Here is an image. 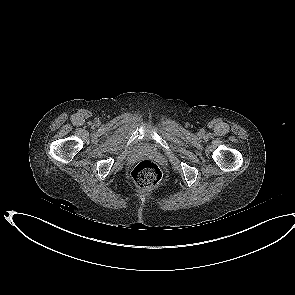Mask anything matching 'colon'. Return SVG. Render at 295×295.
<instances>
[{
  "mask_svg": "<svg viewBox=\"0 0 295 295\" xmlns=\"http://www.w3.org/2000/svg\"><path fill=\"white\" fill-rule=\"evenodd\" d=\"M132 178L138 187L151 188L160 182L162 172L154 162L142 160L133 169Z\"/></svg>",
  "mask_w": 295,
  "mask_h": 295,
  "instance_id": "5ec220e1",
  "label": "colon"
}]
</instances>
